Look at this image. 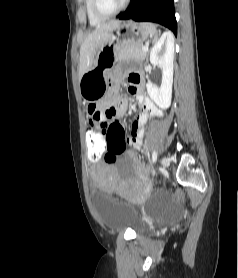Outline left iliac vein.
<instances>
[{
  "label": "left iliac vein",
  "mask_w": 238,
  "mask_h": 278,
  "mask_svg": "<svg viewBox=\"0 0 238 278\" xmlns=\"http://www.w3.org/2000/svg\"><path fill=\"white\" fill-rule=\"evenodd\" d=\"M170 164V159L168 157H163L162 158V166L164 169H166Z\"/></svg>",
  "instance_id": "obj_1"
}]
</instances>
